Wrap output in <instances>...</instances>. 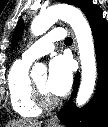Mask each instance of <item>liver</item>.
Returning a JSON list of instances; mask_svg holds the SVG:
<instances>
[{"mask_svg":"<svg viewBox=\"0 0 108 127\" xmlns=\"http://www.w3.org/2000/svg\"><path fill=\"white\" fill-rule=\"evenodd\" d=\"M42 122L32 119H17L6 124V127H41Z\"/></svg>","mask_w":108,"mask_h":127,"instance_id":"obj_1","label":"liver"}]
</instances>
